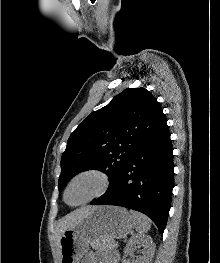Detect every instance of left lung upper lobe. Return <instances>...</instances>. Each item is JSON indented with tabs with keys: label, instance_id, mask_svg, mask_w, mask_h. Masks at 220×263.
Returning a JSON list of instances; mask_svg holds the SVG:
<instances>
[{
	"label": "left lung upper lobe",
	"instance_id": "5c2ea615",
	"mask_svg": "<svg viewBox=\"0 0 220 263\" xmlns=\"http://www.w3.org/2000/svg\"><path fill=\"white\" fill-rule=\"evenodd\" d=\"M164 120L159 103L148 90L125 89L92 112L70 135L61 158L59 190L90 169L106 173L110 188L138 145Z\"/></svg>",
	"mask_w": 220,
	"mask_h": 263
}]
</instances>
